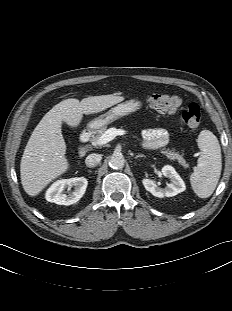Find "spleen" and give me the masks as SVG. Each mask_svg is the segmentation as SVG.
I'll return each instance as SVG.
<instances>
[{
  "mask_svg": "<svg viewBox=\"0 0 232 311\" xmlns=\"http://www.w3.org/2000/svg\"><path fill=\"white\" fill-rule=\"evenodd\" d=\"M197 142L201 154L190 182L198 197L207 198L214 192L221 175V148L217 137L209 130H202Z\"/></svg>",
  "mask_w": 232,
  "mask_h": 311,
  "instance_id": "3e777b00",
  "label": "spleen"
}]
</instances>
